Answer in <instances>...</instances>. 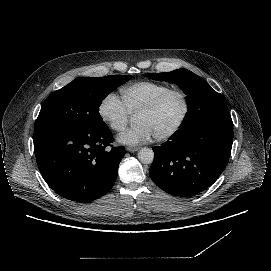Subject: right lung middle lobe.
<instances>
[{
  "mask_svg": "<svg viewBox=\"0 0 271 271\" xmlns=\"http://www.w3.org/2000/svg\"><path fill=\"white\" fill-rule=\"evenodd\" d=\"M131 75L81 77L52 93L44 102L35 128L50 123L93 127L104 124L99 114L101 101Z\"/></svg>",
  "mask_w": 271,
  "mask_h": 271,
  "instance_id": "1",
  "label": "right lung middle lobe"
}]
</instances>
